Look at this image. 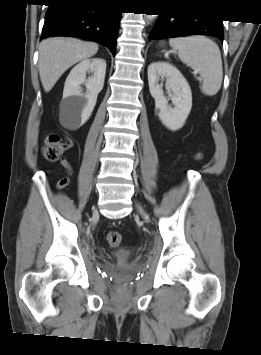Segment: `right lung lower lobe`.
Returning <instances> with one entry per match:
<instances>
[{
    "label": "right lung lower lobe",
    "instance_id": "right-lung-lower-lobe-1",
    "mask_svg": "<svg viewBox=\"0 0 261 355\" xmlns=\"http://www.w3.org/2000/svg\"><path fill=\"white\" fill-rule=\"evenodd\" d=\"M121 11L103 0H50L41 39L67 36L106 45L115 55Z\"/></svg>",
    "mask_w": 261,
    "mask_h": 355
}]
</instances>
